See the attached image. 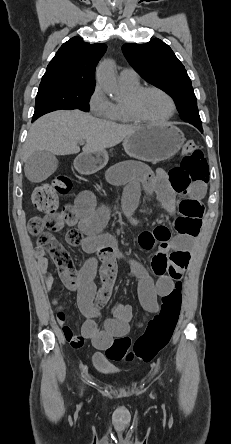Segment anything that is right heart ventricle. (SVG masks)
<instances>
[{
	"mask_svg": "<svg viewBox=\"0 0 231 444\" xmlns=\"http://www.w3.org/2000/svg\"><path fill=\"white\" fill-rule=\"evenodd\" d=\"M122 84L126 89L128 95L140 87L139 81L137 82L122 81ZM125 102L126 101H118L112 104V110L110 115L108 116L109 120L124 124H129L134 122L127 113Z\"/></svg>",
	"mask_w": 231,
	"mask_h": 444,
	"instance_id": "obj_1",
	"label": "right heart ventricle"
}]
</instances>
